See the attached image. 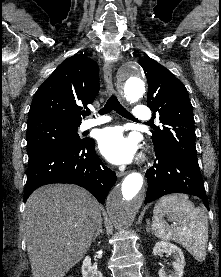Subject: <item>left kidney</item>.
Segmentation results:
<instances>
[{
	"mask_svg": "<svg viewBox=\"0 0 221 277\" xmlns=\"http://www.w3.org/2000/svg\"><path fill=\"white\" fill-rule=\"evenodd\" d=\"M162 253H168L170 255H173L175 261L172 263V273L167 274L164 268L162 267L158 272L159 277H182L185 267V258L182 250L178 246L170 242L160 241L155 244L153 248V255L157 256Z\"/></svg>",
	"mask_w": 221,
	"mask_h": 277,
	"instance_id": "left-kidney-1",
	"label": "left kidney"
}]
</instances>
